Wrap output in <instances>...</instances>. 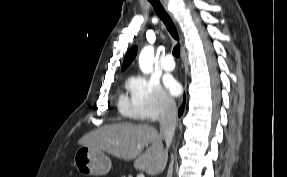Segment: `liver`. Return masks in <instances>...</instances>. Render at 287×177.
Masks as SVG:
<instances>
[{
	"instance_id": "6515ba94",
	"label": "liver",
	"mask_w": 287,
	"mask_h": 177,
	"mask_svg": "<svg viewBox=\"0 0 287 177\" xmlns=\"http://www.w3.org/2000/svg\"><path fill=\"white\" fill-rule=\"evenodd\" d=\"M162 141L160 132L152 126L122 122L102 126L84 135L78 144L101 150L123 160H135L136 169L156 175L166 164ZM145 147L148 148L143 152Z\"/></svg>"
}]
</instances>
